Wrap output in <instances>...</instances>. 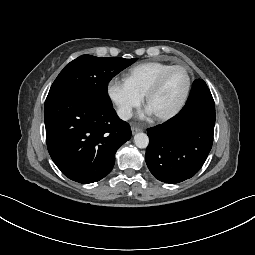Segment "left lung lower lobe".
Returning <instances> with one entry per match:
<instances>
[{
	"label": "left lung lower lobe",
	"mask_w": 255,
	"mask_h": 255,
	"mask_svg": "<svg viewBox=\"0 0 255 255\" xmlns=\"http://www.w3.org/2000/svg\"><path fill=\"white\" fill-rule=\"evenodd\" d=\"M215 104L206 83L193 82L182 110L165 123L149 128L145 160L150 172L165 183L193 177L204 164L213 143Z\"/></svg>",
	"instance_id": "obj_1"
}]
</instances>
